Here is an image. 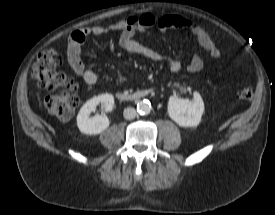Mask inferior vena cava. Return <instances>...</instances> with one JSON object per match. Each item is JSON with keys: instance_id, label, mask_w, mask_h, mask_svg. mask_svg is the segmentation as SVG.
I'll use <instances>...</instances> for the list:
<instances>
[{"instance_id": "602c4592", "label": "inferior vena cava", "mask_w": 275, "mask_h": 215, "mask_svg": "<svg viewBox=\"0 0 275 215\" xmlns=\"http://www.w3.org/2000/svg\"><path fill=\"white\" fill-rule=\"evenodd\" d=\"M123 115L125 119H134L136 116V110L134 108L128 107L124 109Z\"/></svg>"}]
</instances>
